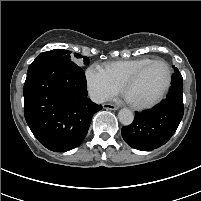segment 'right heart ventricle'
I'll use <instances>...</instances> for the list:
<instances>
[{"mask_svg":"<svg viewBox=\"0 0 201 201\" xmlns=\"http://www.w3.org/2000/svg\"><path fill=\"white\" fill-rule=\"evenodd\" d=\"M152 60L149 57H143L132 60H119L105 65L104 69L108 72L113 81L121 87L123 82L139 67Z\"/></svg>","mask_w":201,"mask_h":201,"instance_id":"e07e8e85","label":"right heart ventricle"}]
</instances>
